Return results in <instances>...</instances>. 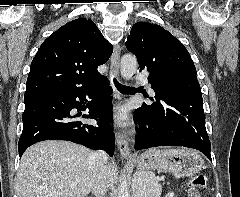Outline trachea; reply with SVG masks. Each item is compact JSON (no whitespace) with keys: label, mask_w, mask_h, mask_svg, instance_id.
<instances>
[{"label":"trachea","mask_w":240,"mask_h":197,"mask_svg":"<svg viewBox=\"0 0 240 197\" xmlns=\"http://www.w3.org/2000/svg\"><path fill=\"white\" fill-rule=\"evenodd\" d=\"M113 81H114V84H115L116 88H117L121 93L133 89V87H128V86L121 85L120 83L117 82L116 79H114Z\"/></svg>","instance_id":"trachea-1"}]
</instances>
